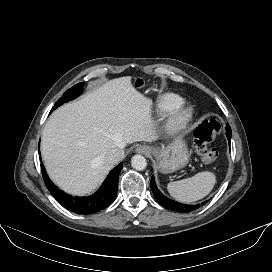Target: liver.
<instances>
[{
  "instance_id": "obj_1",
  "label": "liver",
  "mask_w": 272,
  "mask_h": 272,
  "mask_svg": "<svg viewBox=\"0 0 272 272\" xmlns=\"http://www.w3.org/2000/svg\"><path fill=\"white\" fill-rule=\"evenodd\" d=\"M132 77L106 82L82 99L56 109L45 124L41 153L55 184L74 195L94 191L114 165L106 152L137 141L157 139L152 102Z\"/></svg>"
}]
</instances>
